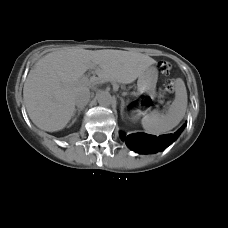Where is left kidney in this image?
Listing matches in <instances>:
<instances>
[{"instance_id":"5707ae66","label":"left kidney","mask_w":228,"mask_h":228,"mask_svg":"<svg viewBox=\"0 0 228 228\" xmlns=\"http://www.w3.org/2000/svg\"><path fill=\"white\" fill-rule=\"evenodd\" d=\"M131 119H132L133 121H135V120L137 119V116H133Z\"/></svg>"}]
</instances>
